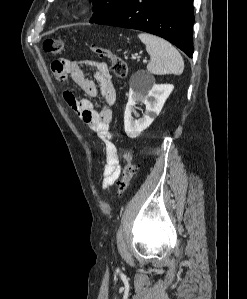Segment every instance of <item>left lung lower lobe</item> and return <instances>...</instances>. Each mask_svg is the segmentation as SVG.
Segmentation results:
<instances>
[{"mask_svg":"<svg viewBox=\"0 0 247 299\" xmlns=\"http://www.w3.org/2000/svg\"><path fill=\"white\" fill-rule=\"evenodd\" d=\"M94 23L152 33L193 54V0H122Z\"/></svg>","mask_w":247,"mask_h":299,"instance_id":"1","label":"left lung lower lobe"}]
</instances>
